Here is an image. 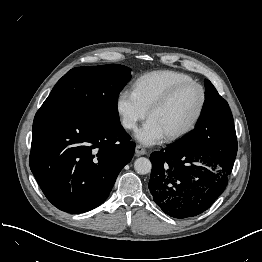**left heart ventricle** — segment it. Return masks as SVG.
<instances>
[{
    "label": "left heart ventricle",
    "mask_w": 262,
    "mask_h": 262,
    "mask_svg": "<svg viewBox=\"0 0 262 262\" xmlns=\"http://www.w3.org/2000/svg\"><path fill=\"white\" fill-rule=\"evenodd\" d=\"M200 102V92L194 86L180 90L162 109L155 112L154 120L164 135L183 129L193 118Z\"/></svg>",
    "instance_id": "obj_1"
}]
</instances>
